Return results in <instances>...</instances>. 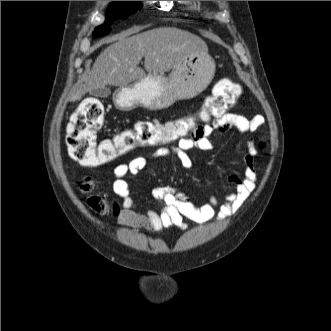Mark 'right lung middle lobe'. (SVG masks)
Masks as SVG:
<instances>
[{
	"label": "right lung middle lobe",
	"instance_id": "1",
	"mask_svg": "<svg viewBox=\"0 0 331 331\" xmlns=\"http://www.w3.org/2000/svg\"><path fill=\"white\" fill-rule=\"evenodd\" d=\"M141 8L138 1H114L110 3L106 22L100 25L94 31V37H100L110 32L109 24L115 18H126L129 14L134 13L137 9Z\"/></svg>",
	"mask_w": 331,
	"mask_h": 331
}]
</instances>
